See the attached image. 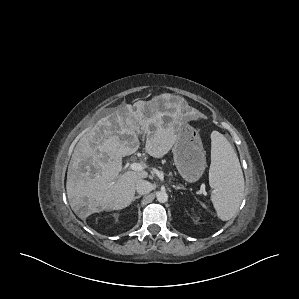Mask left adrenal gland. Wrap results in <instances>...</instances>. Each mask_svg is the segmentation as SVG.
<instances>
[{
	"label": "left adrenal gland",
	"mask_w": 299,
	"mask_h": 299,
	"mask_svg": "<svg viewBox=\"0 0 299 299\" xmlns=\"http://www.w3.org/2000/svg\"><path fill=\"white\" fill-rule=\"evenodd\" d=\"M176 190H180V189H182V190H186V188L184 187V186H182V185H180V186H175L174 187Z\"/></svg>",
	"instance_id": "a2214340"
}]
</instances>
